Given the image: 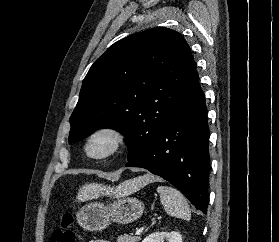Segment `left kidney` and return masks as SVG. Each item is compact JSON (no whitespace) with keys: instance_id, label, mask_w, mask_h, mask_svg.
Listing matches in <instances>:
<instances>
[{"instance_id":"1","label":"left kidney","mask_w":279,"mask_h":242,"mask_svg":"<svg viewBox=\"0 0 279 242\" xmlns=\"http://www.w3.org/2000/svg\"><path fill=\"white\" fill-rule=\"evenodd\" d=\"M167 239L168 242H182V236L179 232H156L150 234L142 242H164Z\"/></svg>"}]
</instances>
